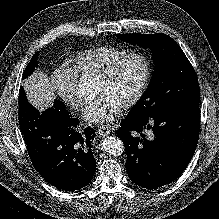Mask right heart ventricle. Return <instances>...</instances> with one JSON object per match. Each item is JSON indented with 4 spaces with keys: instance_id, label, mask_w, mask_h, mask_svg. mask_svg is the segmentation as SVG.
<instances>
[{
    "instance_id": "1",
    "label": "right heart ventricle",
    "mask_w": 219,
    "mask_h": 219,
    "mask_svg": "<svg viewBox=\"0 0 219 219\" xmlns=\"http://www.w3.org/2000/svg\"><path fill=\"white\" fill-rule=\"evenodd\" d=\"M124 48L100 46L75 54L70 63L76 74L99 77L111 64L127 54Z\"/></svg>"
}]
</instances>
